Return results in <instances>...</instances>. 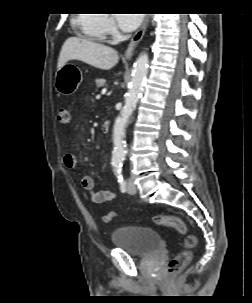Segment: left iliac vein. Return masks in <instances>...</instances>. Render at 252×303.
I'll list each match as a JSON object with an SVG mask.
<instances>
[{
    "instance_id": "4c4485c4",
    "label": "left iliac vein",
    "mask_w": 252,
    "mask_h": 303,
    "mask_svg": "<svg viewBox=\"0 0 252 303\" xmlns=\"http://www.w3.org/2000/svg\"><path fill=\"white\" fill-rule=\"evenodd\" d=\"M126 189L128 193L134 194L136 193V186L134 185L133 181L131 179L127 180Z\"/></svg>"
}]
</instances>
